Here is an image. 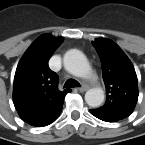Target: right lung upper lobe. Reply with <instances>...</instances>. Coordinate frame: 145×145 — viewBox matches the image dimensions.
Masks as SVG:
<instances>
[{"instance_id":"1","label":"right lung upper lobe","mask_w":145,"mask_h":145,"mask_svg":"<svg viewBox=\"0 0 145 145\" xmlns=\"http://www.w3.org/2000/svg\"><path fill=\"white\" fill-rule=\"evenodd\" d=\"M62 38L41 35L20 60L14 78L13 100L20 117L27 123L42 127L60 114L67 91L57 89V74L48 67L53 52Z\"/></svg>"}]
</instances>
